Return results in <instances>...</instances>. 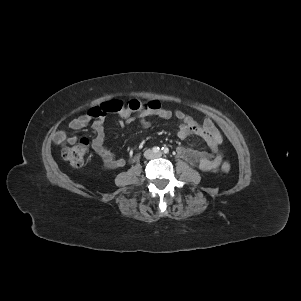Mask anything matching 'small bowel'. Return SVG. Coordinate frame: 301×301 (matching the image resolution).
<instances>
[{"instance_id": "c3829d8e", "label": "small bowel", "mask_w": 301, "mask_h": 301, "mask_svg": "<svg viewBox=\"0 0 301 301\" xmlns=\"http://www.w3.org/2000/svg\"><path fill=\"white\" fill-rule=\"evenodd\" d=\"M133 112H136L133 115ZM120 118L123 120L120 123L139 122L143 127H149L152 118H161L164 120L176 119L179 121L177 135L180 139H186L190 136H197L201 138L208 146V151H198L190 148L180 146L177 148V155L192 165H196L200 170L206 172H216L222 162V155L219 153V148L223 142V138L219 130L215 127L210 119H205L202 124L198 123L194 118L185 114L181 110L172 112L163 108L161 105L156 110L141 109L132 111L130 109H123L119 112ZM92 121V128L94 130V137L92 139V148L101 157L104 165L109 169L120 168L125 164V161L116 158L114 153L107 148L105 144V117H93L88 112L72 119L69 127L72 130H80L85 128L90 121ZM76 140L74 135H68L65 131L59 130L54 135V141L58 144L71 142Z\"/></svg>"}]
</instances>
